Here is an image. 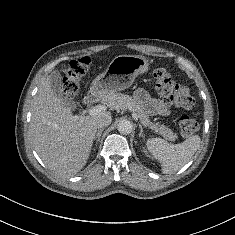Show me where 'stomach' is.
I'll list each match as a JSON object with an SVG mask.
<instances>
[{
	"instance_id": "1",
	"label": "stomach",
	"mask_w": 235,
	"mask_h": 235,
	"mask_svg": "<svg viewBox=\"0 0 235 235\" xmlns=\"http://www.w3.org/2000/svg\"><path fill=\"white\" fill-rule=\"evenodd\" d=\"M148 67V60L142 56L119 55L94 79L90 92L104 97L108 93L124 90L132 85L138 75L147 72Z\"/></svg>"
}]
</instances>
